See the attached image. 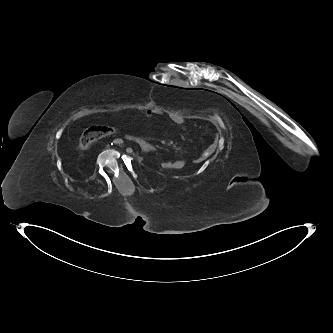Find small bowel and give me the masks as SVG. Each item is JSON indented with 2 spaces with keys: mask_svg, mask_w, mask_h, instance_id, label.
Wrapping results in <instances>:
<instances>
[{
  "mask_svg": "<svg viewBox=\"0 0 333 333\" xmlns=\"http://www.w3.org/2000/svg\"><path fill=\"white\" fill-rule=\"evenodd\" d=\"M154 113L152 111L146 112V118L150 119ZM170 120L175 124H182L184 122V118L181 115H172ZM217 146V139L215 138L209 148L196 160L197 162H202L206 160L215 150ZM174 166L171 169H181L185 166L186 162L182 159L172 161Z\"/></svg>",
  "mask_w": 333,
  "mask_h": 333,
  "instance_id": "small-bowel-1",
  "label": "small bowel"
}]
</instances>
